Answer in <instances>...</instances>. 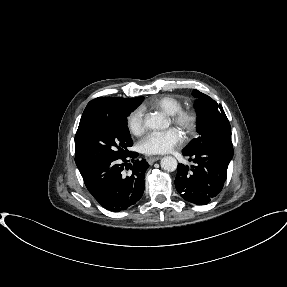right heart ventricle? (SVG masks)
Returning <instances> with one entry per match:
<instances>
[{
    "label": "right heart ventricle",
    "instance_id": "e07e8e85",
    "mask_svg": "<svg viewBox=\"0 0 287 287\" xmlns=\"http://www.w3.org/2000/svg\"><path fill=\"white\" fill-rule=\"evenodd\" d=\"M146 106L161 110L167 115H172L182 109L183 103L180 99L174 96L165 95L152 99L144 107Z\"/></svg>",
    "mask_w": 287,
    "mask_h": 287
}]
</instances>
